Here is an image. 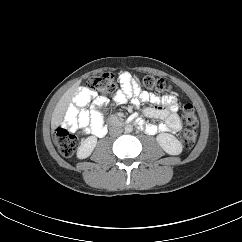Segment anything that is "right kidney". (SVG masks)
Segmentation results:
<instances>
[{"label": "right kidney", "instance_id": "1", "mask_svg": "<svg viewBox=\"0 0 242 242\" xmlns=\"http://www.w3.org/2000/svg\"><path fill=\"white\" fill-rule=\"evenodd\" d=\"M97 143V138L94 136H90L86 138L80 145L77 151V157L79 159L87 158L91 155Z\"/></svg>", "mask_w": 242, "mask_h": 242}]
</instances>
